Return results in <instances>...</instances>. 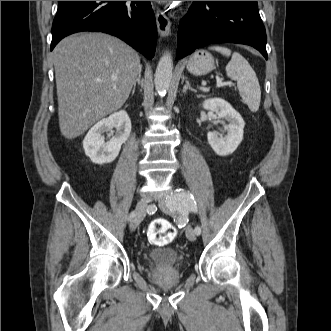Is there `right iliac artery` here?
Returning a JSON list of instances; mask_svg holds the SVG:
<instances>
[{
	"label": "right iliac artery",
	"instance_id": "obj_1",
	"mask_svg": "<svg viewBox=\"0 0 331 331\" xmlns=\"http://www.w3.org/2000/svg\"><path fill=\"white\" fill-rule=\"evenodd\" d=\"M133 216H134V212L130 213L129 216H128V221H130Z\"/></svg>",
	"mask_w": 331,
	"mask_h": 331
}]
</instances>
